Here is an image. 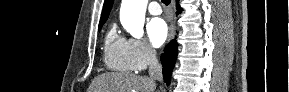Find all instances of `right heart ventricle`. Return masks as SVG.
Here are the masks:
<instances>
[{"mask_svg":"<svg viewBox=\"0 0 289 92\" xmlns=\"http://www.w3.org/2000/svg\"><path fill=\"white\" fill-rule=\"evenodd\" d=\"M104 61L114 71L129 73L133 71L128 55V40L121 37L112 25L104 39Z\"/></svg>","mask_w":289,"mask_h":92,"instance_id":"obj_1","label":"right heart ventricle"}]
</instances>
